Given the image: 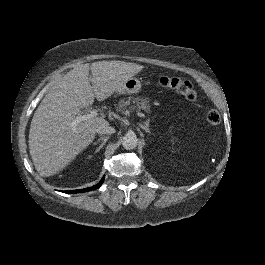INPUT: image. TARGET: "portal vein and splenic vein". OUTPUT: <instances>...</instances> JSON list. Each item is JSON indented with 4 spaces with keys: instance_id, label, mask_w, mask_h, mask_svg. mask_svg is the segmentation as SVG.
<instances>
[{
    "instance_id": "obj_1",
    "label": "portal vein and splenic vein",
    "mask_w": 265,
    "mask_h": 265,
    "mask_svg": "<svg viewBox=\"0 0 265 265\" xmlns=\"http://www.w3.org/2000/svg\"><path fill=\"white\" fill-rule=\"evenodd\" d=\"M135 114L138 116V117H142L143 119H146L147 118V115L146 114H143L142 112H140L139 110H136L135 111ZM97 116V112L95 110H92L90 113L88 114H84V115H79V116H76L75 117V120L72 122L73 126H76L78 123L82 122V121H85V120H88V119H91L93 117Z\"/></svg>"
}]
</instances>
